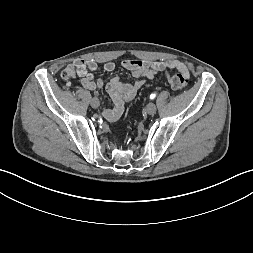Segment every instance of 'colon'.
I'll return each mask as SVG.
<instances>
[{
	"label": "colon",
	"instance_id": "1",
	"mask_svg": "<svg viewBox=\"0 0 253 253\" xmlns=\"http://www.w3.org/2000/svg\"><path fill=\"white\" fill-rule=\"evenodd\" d=\"M61 76L67 81L72 74L68 70H65L62 72ZM166 78L170 86L174 89L185 88L189 83V76L186 72H167Z\"/></svg>",
	"mask_w": 253,
	"mask_h": 253
}]
</instances>
